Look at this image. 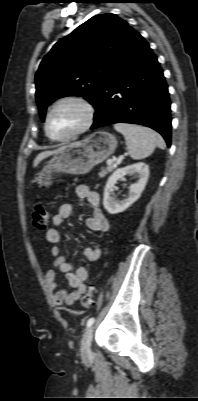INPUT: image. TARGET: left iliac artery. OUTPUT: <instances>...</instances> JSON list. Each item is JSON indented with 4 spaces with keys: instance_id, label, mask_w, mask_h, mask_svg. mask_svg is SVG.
<instances>
[{
    "instance_id": "obj_1",
    "label": "left iliac artery",
    "mask_w": 198,
    "mask_h": 401,
    "mask_svg": "<svg viewBox=\"0 0 198 401\" xmlns=\"http://www.w3.org/2000/svg\"><path fill=\"white\" fill-rule=\"evenodd\" d=\"M93 323H94V318H90V319L87 321V327H90Z\"/></svg>"
}]
</instances>
